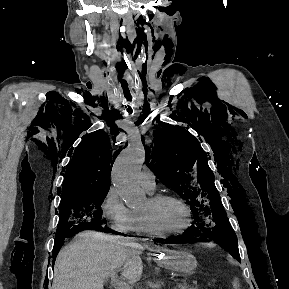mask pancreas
Masks as SVG:
<instances>
[{
	"label": "pancreas",
	"instance_id": "cf45deb5",
	"mask_svg": "<svg viewBox=\"0 0 289 289\" xmlns=\"http://www.w3.org/2000/svg\"><path fill=\"white\" fill-rule=\"evenodd\" d=\"M179 289H182V288L179 287ZM184 289H198V287H196V286H187L186 285V287Z\"/></svg>",
	"mask_w": 289,
	"mask_h": 289
}]
</instances>
